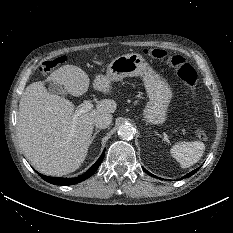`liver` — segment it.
<instances>
[{"label": "liver", "mask_w": 233, "mask_h": 233, "mask_svg": "<svg viewBox=\"0 0 233 233\" xmlns=\"http://www.w3.org/2000/svg\"><path fill=\"white\" fill-rule=\"evenodd\" d=\"M45 81L63 85L75 97L89 88L88 75L78 66L64 65ZM45 81L28 85L19 102L17 131L26 158L37 171L49 176H62L77 170L86 158L94 128V119L113 113L114 100L99 101L96 109L75 116L72 102L47 91ZM108 76L98 74L93 88L104 94L112 89Z\"/></svg>", "instance_id": "obj_1"}]
</instances>
